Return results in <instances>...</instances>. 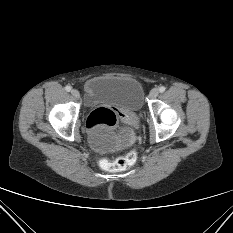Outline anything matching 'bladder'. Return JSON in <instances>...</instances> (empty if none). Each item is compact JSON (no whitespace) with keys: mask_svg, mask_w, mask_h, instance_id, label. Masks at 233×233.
<instances>
[{"mask_svg":"<svg viewBox=\"0 0 233 233\" xmlns=\"http://www.w3.org/2000/svg\"><path fill=\"white\" fill-rule=\"evenodd\" d=\"M85 100L89 105L110 104L135 112L143 105V91L139 82L129 76H97L84 82ZM132 133L99 135L91 132L89 145L97 153L109 154L127 147Z\"/></svg>","mask_w":233,"mask_h":233,"instance_id":"31cf9c89","label":"bladder"}]
</instances>
